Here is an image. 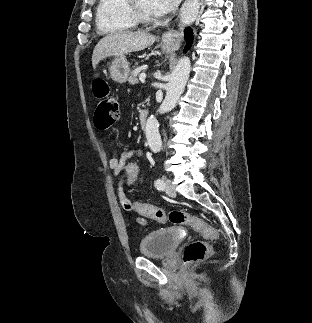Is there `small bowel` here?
<instances>
[{
    "mask_svg": "<svg viewBox=\"0 0 312 323\" xmlns=\"http://www.w3.org/2000/svg\"><path fill=\"white\" fill-rule=\"evenodd\" d=\"M143 151L140 148L129 149L123 151L120 154L112 153L108 160V166L112 170L113 174L118 177V196L119 199H127L126 194L124 192L123 184H124V174H121L122 158H134L142 156ZM133 209V206H130ZM156 219L154 216H138V222L141 224H146L148 220Z\"/></svg>",
    "mask_w": 312,
    "mask_h": 323,
    "instance_id": "1",
    "label": "small bowel"
}]
</instances>
